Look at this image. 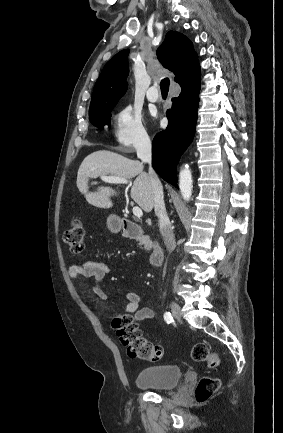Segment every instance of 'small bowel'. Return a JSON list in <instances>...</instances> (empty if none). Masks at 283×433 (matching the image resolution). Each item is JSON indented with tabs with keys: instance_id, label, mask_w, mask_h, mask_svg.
I'll list each match as a JSON object with an SVG mask.
<instances>
[{
	"instance_id": "c3829d8e",
	"label": "small bowel",
	"mask_w": 283,
	"mask_h": 433,
	"mask_svg": "<svg viewBox=\"0 0 283 433\" xmlns=\"http://www.w3.org/2000/svg\"><path fill=\"white\" fill-rule=\"evenodd\" d=\"M110 272V267L102 261L84 260L68 267V275L72 280L93 279L95 282L94 293L103 301L108 300L107 293L102 287V281ZM123 301L126 302L124 314H132L135 322L152 320L154 312L148 307H141L142 296L138 291L127 293Z\"/></svg>"
}]
</instances>
